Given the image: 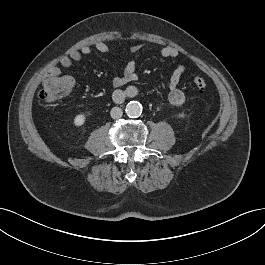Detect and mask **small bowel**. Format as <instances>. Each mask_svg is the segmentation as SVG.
Returning <instances> with one entry per match:
<instances>
[{
	"label": "small bowel",
	"instance_id": "small-bowel-1",
	"mask_svg": "<svg viewBox=\"0 0 265 265\" xmlns=\"http://www.w3.org/2000/svg\"><path fill=\"white\" fill-rule=\"evenodd\" d=\"M141 45H135L131 48L132 53H136L141 49ZM93 49L101 53L111 52L110 46L103 42L97 41L93 46L84 45L79 49L72 50L67 56H64L60 59L59 65L52 66L49 70V73L52 75H59L62 68H70L74 62H78L82 59L83 56H88L93 52ZM161 55L165 58H173L178 55L176 48L172 46H165L161 49ZM186 72L185 65H178L172 72L169 82H168V91H167V100L173 106H180L185 101V94L179 88V83L181 77ZM138 79L137 73V63L135 60H130L124 67V71L121 75L115 77L112 81L113 87L116 90L113 93V97L116 101H122L125 98H131L137 95V88L135 86H127L125 89H119L120 87L134 82Z\"/></svg>",
	"mask_w": 265,
	"mask_h": 265
}]
</instances>
